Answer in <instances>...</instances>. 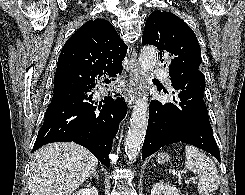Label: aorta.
<instances>
[{
	"instance_id": "762f6f07",
	"label": "aorta",
	"mask_w": 245,
	"mask_h": 195,
	"mask_svg": "<svg viewBox=\"0 0 245 195\" xmlns=\"http://www.w3.org/2000/svg\"><path fill=\"white\" fill-rule=\"evenodd\" d=\"M157 50L153 46H146L141 50L138 58L141 70L149 73L156 64ZM149 104L146 97H139L133 108L130 126L125 139V153L130 163L136 161L145 138L148 125Z\"/></svg>"
}]
</instances>
